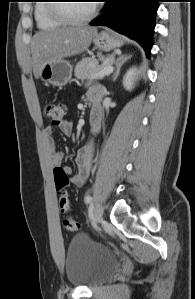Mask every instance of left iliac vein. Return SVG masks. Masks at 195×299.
I'll return each instance as SVG.
<instances>
[{
	"mask_svg": "<svg viewBox=\"0 0 195 299\" xmlns=\"http://www.w3.org/2000/svg\"><path fill=\"white\" fill-rule=\"evenodd\" d=\"M102 215H103L102 205L96 204L93 208V224L94 225H97L101 221Z\"/></svg>",
	"mask_w": 195,
	"mask_h": 299,
	"instance_id": "1",
	"label": "left iliac vein"
}]
</instances>
